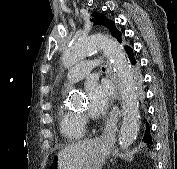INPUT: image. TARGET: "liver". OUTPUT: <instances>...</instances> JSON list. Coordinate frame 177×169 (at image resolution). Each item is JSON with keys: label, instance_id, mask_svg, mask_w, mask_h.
Masks as SVG:
<instances>
[{"label": "liver", "instance_id": "obj_1", "mask_svg": "<svg viewBox=\"0 0 177 169\" xmlns=\"http://www.w3.org/2000/svg\"><path fill=\"white\" fill-rule=\"evenodd\" d=\"M99 143L97 139L78 142L65 147L58 153V169H82L93 148Z\"/></svg>", "mask_w": 177, "mask_h": 169}]
</instances>
